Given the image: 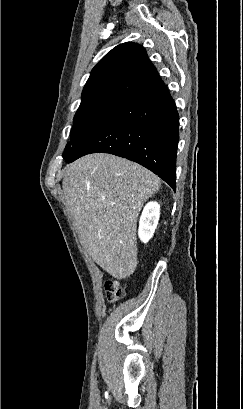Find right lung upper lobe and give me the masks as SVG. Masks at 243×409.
<instances>
[{"label": "right lung upper lobe", "mask_w": 243, "mask_h": 409, "mask_svg": "<svg viewBox=\"0 0 243 409\" xmlns=\"http://www.w3.org/2000/svg\"><path fill=\"white\" fill-rule=\"evenodd\" d=\"M158 79L146 50L137 43H123L107 53L92 69L82 92V102L125 100Z\"/></svg>", "instance_id": "obj_1"}]
</instances>
